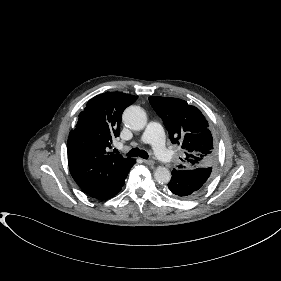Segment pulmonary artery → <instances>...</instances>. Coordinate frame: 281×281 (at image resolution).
<instances>
[{
    "label": "pulmonary artery",
    "instance_id": "pulmonary-artery-1",
    "mask_svg": "<svg viewBox=\"0 0 281 281\" xmlns=\"http://www.w3.org/2000/svg\"><path fill=\"white\" fill-rule=\"evenodd\" d=\"M141 141L150 144L156 156L163 162H174L175 158L173 154L166 147L164 131L160 123L154 121L150 122L143 132ZM122 146V143H117L118 148Z\"/></svg>",
    "mask_w": 281,
    "mask_h": 281
}]
</instances>
